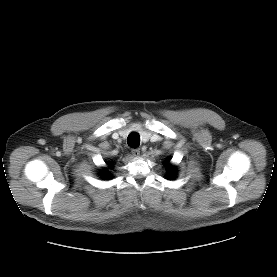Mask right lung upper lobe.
Masks as SVG:
<instances>
[{"instance_id":"cb5924a9","label":"right lung upper lobe","mask_w":277,"mask_h":277,"mask_svg":"<svg viewBox=\"0 0 277 277\" xmlns=\"http://www.w3.org/2000/svg\"><path fill=\"white\" fill-rule=\"evenodd\" d=\"M107 165L109 166V168H112V164H111V163H107ZM104 178H105V179L111 178V176L108 175V174H104Z\"/></svg>"}]
</instances>
